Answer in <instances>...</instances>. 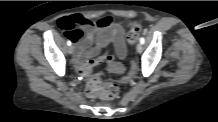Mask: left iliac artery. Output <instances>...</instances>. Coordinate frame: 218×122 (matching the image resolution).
Returning a JSON list of instances; mask_svg holds the SVG:
<instances>
[{"label":"left iliac artery","instance_id":"left-iliac-artery-1","mask_svg":"<svg viewBox=\"0 0 218 122\" xmlns=\"http://www.w3.org/2000/svg\"><path fill=\"white\" fill-rule=\"evenodd\" d=\"M144 42H145L144 37H141V38H140V43H141V44H144Z\"/></svg>","mask_w":218,"mask_h":122}]
</instances>
